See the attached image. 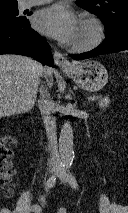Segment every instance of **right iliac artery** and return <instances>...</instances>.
Returning <instances> with one entry per match:
<instances>
[{"instance_id":"obj_1","label":"right iliac artery","mask_w":128,"mask_h":213,"mask_svg":"<svg viewBox=\"0 0 128 213\" xmlns=\"http://www.w3.org/2000/svg\"><path fill=\"white\" fill-rule=\"evenodd\" d=\"M56 183V176H51L46 182V189H51Z\"/></svg>"}]
</instances>
